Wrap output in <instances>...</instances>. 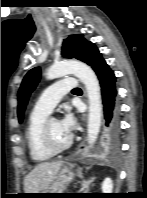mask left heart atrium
I'll use <instances>...</instances> for the list:
<instances>
[{
	"instance_id": "1",
	"label": "left heart atrium",
	"mask_w": 147,
	"mask_h": 198,
	"mask_svg": "<svg viewBox=\"0 0 147 198\" xmlns=\"http://www.w3.org/2000/svg\"><path fill=\"white\" fill-rule=\"evenodd\" d=\"M62 130L70 137L74 128L75 120L71 113H66L64 117L59 121Z\"/></svg>"
}]
</instances>
